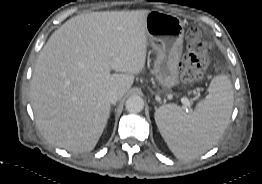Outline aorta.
Listing matches in <instances>:
<instances>
[{
	"label": "aorta",
	"mask_w": 262,
	"mask_h": 184,
	"mask_svg": "<svg viewBox=\"0 0 262 184\" xmlns=\"http://www.w3.org/2000/svg\"><path fill=\"white\" fill-rule=\"evenodd\" d=\"M125 108L129 112H140L144 108V101L140 96H130L125 103Z\"/></svg>",
	"instance_id": "1"
}]
</instances>
